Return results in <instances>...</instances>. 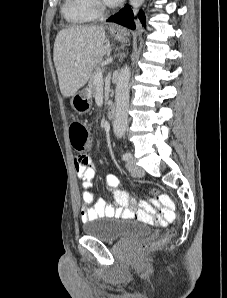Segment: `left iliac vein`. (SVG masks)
Masks as SVG:
<instances>
[{
  "instance_id": "left-iliac-vein-1",
  "label": "left iliac vein",
  "mask_w": 227,
  "mask_h": 298,
  "mask_svg": "<svg viewBox=\"0 0 227 298\" xmlns=\"http://www.w3.org/2000/svg\"><path fill=\"white\" fill-rule=\"evenodd\" d=\"M126 166L128 171L135 176H141L144 174V170L136 164L132 157L128 160Z\"/></svg>"
}]
</instances>
